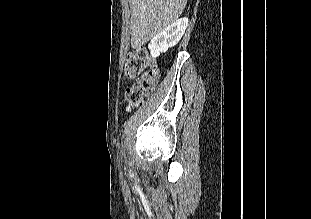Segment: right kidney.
I'll use <instances>...</instances> for the list:
<instances>
[{
    "mask_svg": "<svg viewBox=\"0 0 311 219\" xmlns=\"http://www.w3.org/2000/svg\"><path fill=\"white\" fill-rule=\"evenodd\" d=\"M187 26L188 18H182L153 37L148 46L151 56L156 58L160 53H165L169 48L174 47L180 41Z\"/></svg>",
    "mask_w": 311,
    "mask_h": 219,
    "instance_id": "ca27d5eb",
    "label": "right kidney"
}]
</instances>
